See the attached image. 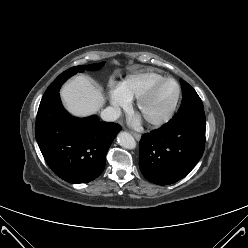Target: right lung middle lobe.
Segmentation results:
<instances>
[{"label":"right lung middle lobe","instance_id":"1","mask_svg":"<svg viewBox=\"0 0 248 248\" xmlns=\"http://www.w3.org/2000/svg\"><path fill=\"white\" fill-rule=\"evenodd\" d=\"M104 65V62L98 63V64H90L85 66H76L72 67L63 73H61L54 82L51 83V85L47 88L45 94L43 95V98L41 100V103L55 97L57 94H59V89L61 85L71 76L76 74L77 72H84L85 70L89 71H95L100 69Z\"/></svg>","mask_w":248,"mask_h":248}]
</instances>
